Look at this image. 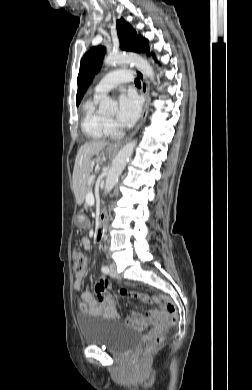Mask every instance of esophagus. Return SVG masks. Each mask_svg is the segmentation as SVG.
Listing matches in <instances>:
<instances>
[{
	"mask_svg": "<svg viewBox=\"0 0 252 390\" xmlns=\"http://www.w3.org/2000/svg\"><path fill=\"white\" fill-rule=\"evenodd\" d=\"M136 74L141 81V92H142L143 96L145 97V102H144V106H143V110H142V114H141V119H140L138 125L136 126L135 130L131 133L130 137L127 138L125 141L115 143L112 146L113 148L121 147L125 142H127V140H129L131 137H133L136 134V132L140 129V127L143 125V123L145 122L147 114H148V107H149V103H150L149 84H148V81H147L145 75L140 70H136Z\"/></svg>",
	"mask_w": 252,
	"mask_h": 390,
	"instance_id": "esophagus-1",
	"label": "esophagus"
}]
</instances>
